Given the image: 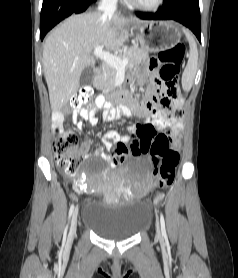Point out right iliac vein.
I'll return each mask as SVG.
<instances>
[{
	"mask_svg": "<svg viewBox=\"0 0 238 278\" xmlns=\"http://www.w3.org/2000/svg\"><path fill=\"white\" fill-rule=\"evenodd\" d=\"M77 230V209L74 210L69 231V239H73Z\"/></svg>",
	"mask_w": 238,
	"mask_h": 278,
	"instance_id": "right-iliac-vein-1",
	"label": "right iliac vein"
}]
</instances>
